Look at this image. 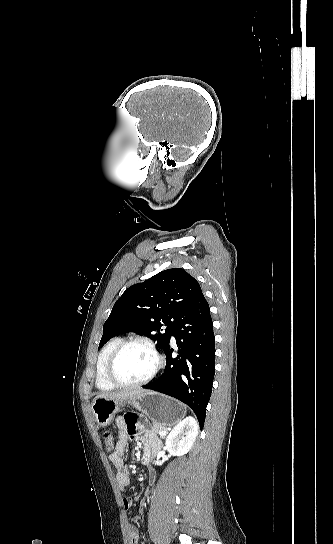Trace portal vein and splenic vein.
Here are the masks:
<instances>
[{"label":"portal vein and splenic vein","instance_id":"portal-vein-and-splenic-vein-1","mask_svg":"<svg viewBox=\"0 0 333 544\" xmlns=\"http://www.w3.org/2000/svg\"><path fill=\"white\" fill-rule=\"evenodd\" d=\"M165 434H166L165 431H162V432L159 433L160 436H163V435H165Z\"/></svg>","mask_w":333,"mask_h":544}]
</instances>
